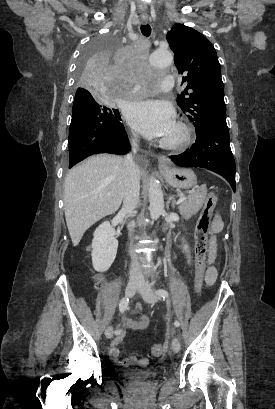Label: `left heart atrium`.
Listing matches in <instances>:
<instances>
[{"label": "left heart atrium", "instance_id": "39dd6f15", "mask_svg": "<svg viewBox=\"0 0 275 409\" xmlns=\"http://www.w3.org/2000/svg\"><path fill=\"white\" fill-rule=\"evenodd\" d=\"M127 120L149 138L164 137L174 127V110L158 100L134 101L125 106Z\"/></svg>", "mask_w": 275, "mask_h": 409}]
</instances>
